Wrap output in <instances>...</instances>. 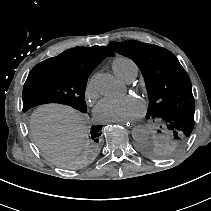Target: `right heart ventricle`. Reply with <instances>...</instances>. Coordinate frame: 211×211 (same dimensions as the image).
Segmentation results:
<instances>
[{
	"label": "right heart ventricle",
	"mask_w": 211,
	"mask_h": 211,
	"mask_svg": "<svg viewBox=\"0 0 211 211\" xmlns=\"http://www.w3.org/2000/svg\"><path fill=\"white\" fill-rule=\"evenodd\" d=\"M112 68L114 72L121 79L128 81L132 77H136L138 74V66L136 62L126 56H118L112 62Z\"/></svg>",
	"instance_id": "e07e8e85"
}]
</instances>
